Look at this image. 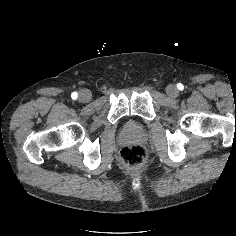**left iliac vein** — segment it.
<instances>
[{
    "instance_id": "4c4485c4",
    "label": "left iliac vein",
    "mask_w": 236,
    "mask_h": 236,
    "mask_svg": "<svg viewBox=\"0 0 236 236\" xmlns=\"http://www.w3.org/2000/svg\"><path fill=\"white\" fill-rule=\"evenodd\" d=\"M166 93L168 94V96L175 98L179 95V90L175 85H168L166 88Z\"/></svg>"
}]
</instances>
